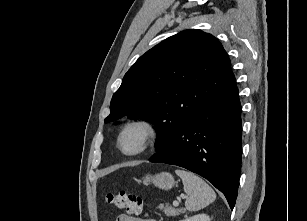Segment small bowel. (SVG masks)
Listing matches in <instances>:
<instances>
[{"label": "small bowel", "instance_id": "obj_1", "mask_svg": "<svg viewBox=\"0 0 307 221\" xmlns=\"http://www.w3.org/2000/svg\"><path fill=\"white\" fill-rule=\"evenodd\" d=\"M116 221H156V220L153 219L144 220L138 216H134L131 214H121L117 217Z\"/></svg>", "mask_w": 307, "mask_h": 221}]
</instances>
